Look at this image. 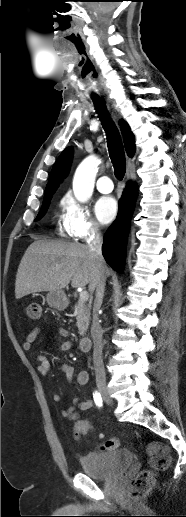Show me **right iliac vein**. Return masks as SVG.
I'll return each instance as SVG.
<instances>
[{"label":"right iliac vein","instance_id":"right-iliac-vein-1","mask_svg":"<svg viewBox=\"0 0 186 517\" xmlns=\"http://www.w3.org/2000/svg\"><path fill=\"white\" fill-rule=\"evenodd\" d=\"M98 391L99 393L101 394V396L103 397V399L108 403V404H111L112 403V400H111V397L108 393V390L107 388L103 385V384H98Z\"/></svg>","mask_w":186,"mask_h":517}]
</instances>
